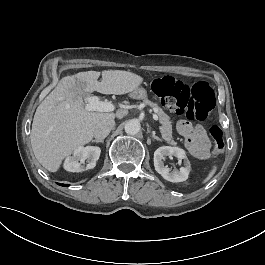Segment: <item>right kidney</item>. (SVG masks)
Returning <instances> with one entry per match:
<instances>
[{"label":"right kidney","instance_id":"ca27d5eb","mask_svg":"<svg viewBox=\"0 0 265 265\" xmlns=\"http://www.w3.org/2000/svg\"><path fill=\"white\" fill-rule=\"evenodd\" d=\"M101 149L97 146H79L74 150L73 156L64 161V169L69 172H83L93 169L100 157ZM87 160V165H82Z\"/></svg>","mask_w":265,"mask_h":265}]
</instances>
